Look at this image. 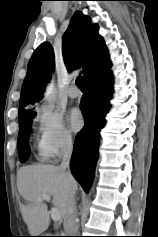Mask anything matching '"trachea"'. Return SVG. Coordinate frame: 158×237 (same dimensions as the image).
I'll return each instance as SVG.
<instances>
[{"instance_id":"trachea-1","label":"trachea","mask_w":158,"mask_h":237,"mask_svg":"<svg viewBox=\"0 0 158 237\" xmlns=\"http://www.w3.org/2000/svg\"><path fill=\"white\" fill-rule=\"evenodd\" d=\"M76 85L82 91L85 90V77L81 76L76 79Z\"/></svg>"}]
</instances>
